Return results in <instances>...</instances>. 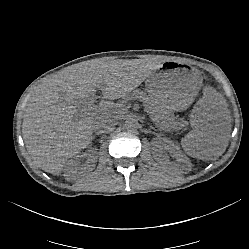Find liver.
I'll use <instances>...</instances> for the list:
<instances>
[{
    "mask_svg": "<svg viewBox=\"0 0 249 249\" xmlns=\"http://www.w3.org/2000/svg\"><path fill=\"white\" fill-rule=\"evenodd\" d=\"M150 75L147 67H69L36 86L22 123L33 165L53 175H59L65 165L71 166L68 158L91 144L92 125L103 113L111 114L112 101L126 97ZM96 88L107 101H101L96 112H84ZM160 97L157 93L153 100L168 111H183L188 106L185 102L165 106ZM190 124L193 130L181 140L189 156L213 160L225 152L232 127L227 103L220 94L204 90L191 111Z\"/></svg>",
    "mask_w": 249,
    "mask_h": 249,
    "instance_id": "1",
    "label": "liver"
}]
</instances>
